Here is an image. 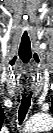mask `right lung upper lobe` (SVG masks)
Returning <instances> with one entry per match:
<instances>
[{"label":"right lung upper lobe","instance_id":"obj_1","mask_svg":"<svg viewBox=\"0 0 53 133\" xmlns=\"http://www.w3.org/2000/svg\"><path fill=\"white\" fill-rule=\"evenodd\" d=\"M3 112V111H2ZM2 117H1V123H3V119H4V113H2V115H1Z\"/></svg>","mask_w":53,"mask_h":133}]
</instances>
